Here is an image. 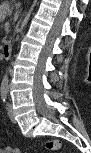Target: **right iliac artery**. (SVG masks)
I'll list each match as a JSON object with an SVG mask.
<instances>
[{
  "mask_svg": "<svg viewBox=\"0 0 91 153\" xmlns=\"http://www.w3.org/2000/svg\"><path fill=\"white\" fill-rule=\"evenodd\" d=\"M6 98H7V86L3 85L1 87V99L3 102H5Z\"/></svg>",
  "mask_w": 91,
  "mask_h": 153,
  "instance_id": "right-iliac-artery-1",
  "label": "right iliac artery"
}]
</instances>
